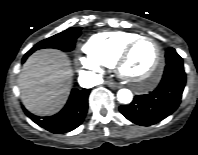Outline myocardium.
Segmentation results:
<instances>
[{
    "instance_id": "1",
    "label": "myocardium",
    "mask_w": 198,
    "mask_h": 155,
    "mask_svg": "<svg viewBox=\"0 0 198 155\" xmlns=\"http://www.w3.org/2000/svg\"><path fill=\"white\" fill-rule=\"evenodd\" d=\"M143 40H148L155 44L157 55H156V61H155L154 67H153L152 71L149 73V75H147L144 78L138 79V78L129 76L124 71V64L127 61V59L129 58L133 48L139 42H141ZM163 63H164V52H163L160 44L158 43V41L150 36L139 35L136 38L130 40L123 47V49L120 51V53L116 57L114 65H115L118 76L122 80H124L126 83H128L129 85H131L133 88H135L137 90H147V89L152 88L158 81L160 74H161L162 67H163Z\"/></svg>"
}]
</instances>
